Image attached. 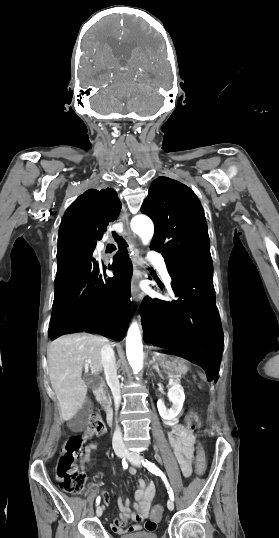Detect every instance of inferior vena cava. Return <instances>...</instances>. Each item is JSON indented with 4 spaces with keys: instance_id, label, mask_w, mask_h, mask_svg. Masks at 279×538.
I'll list each match as a JSON object with an SVG mask.
<instances>
[{
    "instance_id": "obj_1",
    "label": "inferior vena cava",
    "mask_w": 279,
    "mask_h": 538,
    "mask_svg": "<svg viewBox=\"0 0 279 538\" xmlns=\"http://www.w3.org/2000/svg\"><path fill=\"white\" fill-rule=\"evenodd\" d=\"M108 342V341H107ZM111 345L105 344L101 349L102 354V364L104 367V372L106 375V380L108 385L112 386V394L115 399V405L116 408H118V404L121 400L120 396V386L118 381V376L116 375V366L115 361H112L114 358V352L110 347ZM124 438H122V433L120 432V428H117V430L114 433L113 436V448L118 456L121 458H126L128 456L127 448L125 447V444L123 443ZM126 441V440H124Z\"/></svg>"
}]
</instances>
